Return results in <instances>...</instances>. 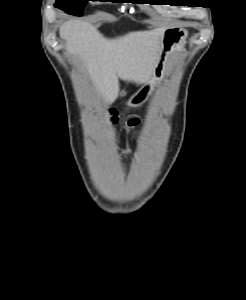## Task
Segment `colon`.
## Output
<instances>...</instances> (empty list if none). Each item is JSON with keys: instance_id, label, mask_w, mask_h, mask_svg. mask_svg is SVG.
<instances>
[{"instance_id": "1", "label": "colon", "mask_w": 246, "mask_h": 300, "mask_svg": "<svg viewBox=\"0 0 246 300\" xmlns=\"http://www.w3.org/2000/svg\"><path fill=\"white\" fill-rule=\"evenodd\" d=\"M112 119H115V114L112 113ZM140 120L138 118H131L127 121L126 126H125V130L126 131H132L135 128H137V126L139 125Z\"/></svg>"}]
</instances>
